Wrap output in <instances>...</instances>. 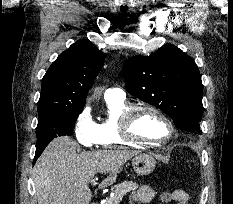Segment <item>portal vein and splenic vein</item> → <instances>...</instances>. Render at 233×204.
Masks as SVG:
<instances>
[{"label":"portal vein and splenic vein","instance_id":"1","mask_svg":"<svg viewBox=\"0 0 233 204\" xmlns=\"http://www.w3.org/2000/svg\"><path fill=\"white\" fill-rule=\"evenodd\" d=\"M90 183H91L92 185H96V180H95V179H92V180L90 181Z\"/></svg>","mask_w":233,"mask_h":204}]
</instances>
